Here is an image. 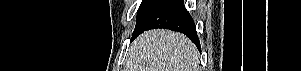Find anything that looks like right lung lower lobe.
<instances>
[{"label":"right lung lower lobe","instance_id":"right-lung-lower-lobe-1","mask_svg":"<svg viewBox=\"0 0 301 71\" xmlns=\"http://www.w3.org/2000/svg\"><path fill=\"white\" fill-rule=\"evenodd\" d=\"M153 28H165L181 32L200 49L194 21L183 5V0H160L134 30L132 40L142 32Z\"/></svg>","mask_w":301,"mask_h":71}]
</instances>
